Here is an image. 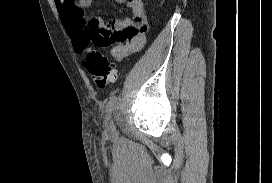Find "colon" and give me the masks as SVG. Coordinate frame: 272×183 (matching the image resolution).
Returning a JSON list of instances; mask_svg holds the SVG:
<instances>
[{
	"label": "colon",
	"mask_w": 272,
	"mask_h": 183,
	"mask_svg": "<svg viewBox=\"0 0 272 183\" xmlns=\"http://www.w3.org/2000/svg\"><path fill=\"white\" fill-rule=\"evenodd\" d=\"M83 64L99 88H104L114 83L117 79L118 69L99 51H89L85 56Z\"/></svg>",
	"instance_id": "1"
}]
</instances>
